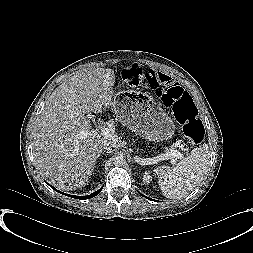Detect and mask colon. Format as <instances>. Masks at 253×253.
Returning <instances> with one entry per match:
<instances>
[{
  "mask_svg": "<svg viewBox=\"0 0 253 253\" xmlns=\"http://www.w3.org/2000/svg\"><path fill=\"white\" fill-rule=\"evenodd\" d=\"M146 72L143 66L133 64L124 67L121 76L127 83L139 86ZM157 97L182 123L185 136L194 143H200L204 138L205 129L198 119L197 108L191 95L181 86L173 85L157 90Z\"/></svg>",
  "mask_w": 253,
  "mask_h": 253,
  "instance_id": "5ec220e1",
  "label": "colon"
}]
</instances>
